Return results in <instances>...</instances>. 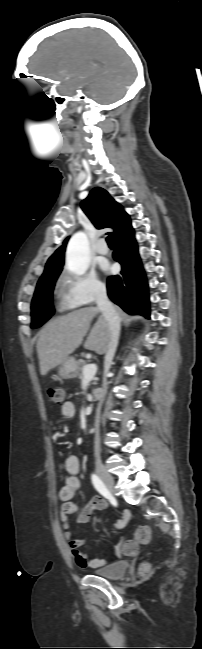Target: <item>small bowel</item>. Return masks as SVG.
<instances>
[{"label":"small bowel","mask_w":202,"mask_h":649,"mask_svg":"<svg viewBox=\"0 0 202 649\" xmlns=\"http://www.w3.org/2000/svg\"><path fill=\"white\" fill-rule=\"evenodd\" d=\"M61 414L64 418H72L76 414V408L72 401H65L61 406ZM64 469L68 476L65 479L64 485L59 491V498L62 501L60 510L61 525L65 530V538L68 543V548L71 557L75 563L81 568H99L107 564L106 559L91 558L90 556L82 553L80 548L85 544V539L77 537L70 530L71 522L69 516L78 513L75 524L87 523L95 511H100L106 508V502L100 497H93L90 502L84 507L80 508L73 502V498L81 487V482L78 477L81 465L76 456L68 457L64 462ZM130 519V513L125 511L123 517L115 523L116 529H122L126 526ZM123 551V544L119 542L115 548L116 556H120Z\"/></svg>","instance_id":"1"}]
</instances>
